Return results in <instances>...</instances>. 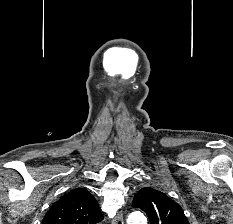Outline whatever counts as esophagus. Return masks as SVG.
<instances>
[{"label":"esophagus","mask_w":233,"mask_h":224,"mask_svg":"<svg viewBox=\"0 0 233 224\" xmlns=\"http://www.w3.org/2000/svg\"><path fill=\"white\" fill-rule=\"evenodd\" d=\"M112 224H124L122 212L117 214L116 218L112 221Z\"/></svg>","instance_id":"34e87169"}]
</instances>
